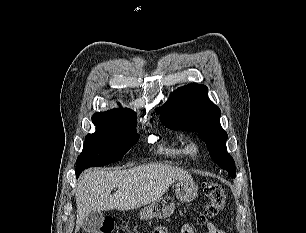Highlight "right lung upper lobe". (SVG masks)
<instances>
[{"mask_svg": "<svg viewBox=\"0 0 306 233\" xmlns=\"http://www.w3.org/2000/svg\"><path fill=\"white\" fill-rule=\"evenodd\" d=\"M99 113H108V114H116L122 116H134L136 117L135 113L131 109H113L106 112H99Z\"/></svg>", "mask_w": 306, "mask_h": 233, "instance_id": "right-lung-upper-lobe-1", "label": "right lung upper lobe"}]
</instances>
